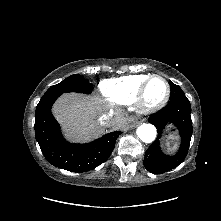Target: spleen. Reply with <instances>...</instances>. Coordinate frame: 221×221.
Returning a JSON list of instances; mask_svg holds the SVG:
<instances>
[{"label": "spleen", "instance_id": "spleen-1", "mask_svg": "<svg viewBox=\"0 0 221 221\" xmlns=\"http://www.w3.org/2000/svg\"><path fill=\"white\" fill-rule=\"evenodd\" d=\"M174 138H175L174 136L170 137V139H172V140H173ZM174 148H175V146H174Z\"/></svg>", "mask_w": 221, "mask_h": 221}]
</instances>
